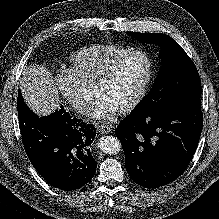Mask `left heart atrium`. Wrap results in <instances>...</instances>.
Returning a JSON list of instances; mask_svg holds the SVG:
<instances>
[{"mask_svg":"<svg viewBox=\"0 0 219 219\" xmlns=\"http://www.w3.org/2000/svg\"><path fill=\"white\" fill-rule=\"evenodd\" d=\"M119 110V107L107 97L98 96L90 115L98 120L110 121L117 116Z\"/></svg>","mask_w":219,"mask_h":219,"instance_id":"39dd6f15","label":"left heart atrium"}]
</instances>
